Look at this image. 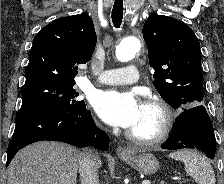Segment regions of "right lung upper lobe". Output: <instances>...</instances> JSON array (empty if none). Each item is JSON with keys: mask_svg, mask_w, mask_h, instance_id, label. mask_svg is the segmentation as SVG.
<instances>
[{"mask_svg": "<svg viewBox=\"0 0 224 184\" xmlns=\"http://www.w3.org/2000/svg\"><path fill=\"white\" fill-rule=\"evenodd\" d=\"M95 45L96 33L88 14L54 20L33 40L25 84L42 80L75 83L77 65L91 59Z\"/></svg>", "mask_w": 224, "mask_h": 184, "instance_id": "cb5924a9", "label": "right lung upper lobe"}]
</instances>
